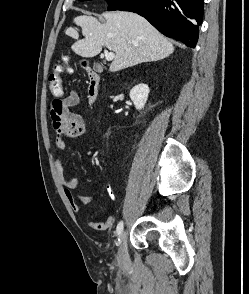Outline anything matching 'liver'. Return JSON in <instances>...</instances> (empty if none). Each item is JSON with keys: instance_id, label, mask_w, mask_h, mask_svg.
Masks as SVG:
<instances>
[{"instance_id": "liver-1", "label": "liver", "mask_w": 249, "mask_h": 294, "mask_svg": "<svg viewBox=\"0 0 249 294\" xmlns=\"http://www.w3.org/2000/svg\"><path fill=\"white\" fill-rule=\"evenodd\" d=\"M103 16L105 23L89 15L74 18L84 39H79L78 31L72 27L65 34L77 40L71 46L77 55L95 57L106 46L115 53L109 70L116 72L143 62L158 61L173 53L172 43L143 17L124 11L107 12Z\"/></svg>"}]
</instances>
